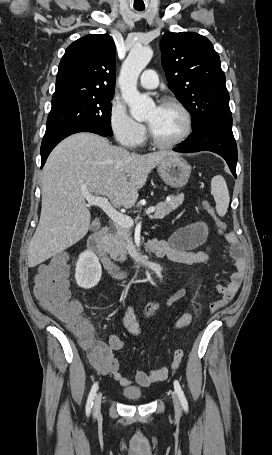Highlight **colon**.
I'll use <instances>...</instances> for the list:
<instances>
[{
    "instance_id": "1",
    "label": "colon",
    "mask_w": 272,
    "mask_h": 455,
    "mask_svg": "<svg viewBox=\"0 0 272 455\" xmlns=\"http://www.w3.org/2000/svg\"><path fill=\"white\" fill-rule=\"evenodd\" d=\"M203 206L210 215L219 233H224L226 224L216 215L209 202ZM68 256L60 253L53 256L42 266L35 278L34 293L41 305L56 318L64 322L86 345L92 344L93 327L82 318L81 306L70 299L68 284ZM106 351L103 345H94L91 359L96 364L105 360Z\"/></svg>"
}]
</instances>
